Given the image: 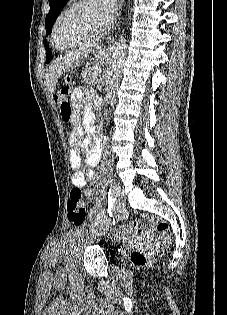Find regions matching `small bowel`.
Segmentation results:
<instances>
[{
    "instance_id": "c3829d8e",
    "label": "small bowel",
    "mask_w": 227,
    "mask_h": 315,
    "mask_svg": "<svg viewBox=\"0 0 227 315\" xmlns=\"http://www.w3.org/2000/svg\"><path fill=\"white\" fill-rule=\"evenodd\" d=\"M87 94L88 90L84 88H76L73 91V97L77 103H80ZM68 143L71 147L69 152V162L73 169L71 183L75 187H85L88 181H93L95 178V172L92 167L99 161V148L97 145L93 144L90 138L83 137V129L77 123H74L73 129L69 135ZM78 145H80L81 149L86 152L85 163L82 161ZM84 164L87 166L86 170H84ZM94 192L93 188H84V194L87 197L93 196Z\"/></svg>"
}]
</instances>
